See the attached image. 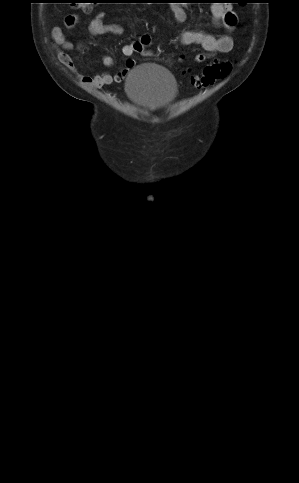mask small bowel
I'll return each instance as SVG.
<instances>
[{
	"label": "small bowel",
	"instance_id": "c3829d8e",
	"mask_svg": "<svg viewBox=\"0 0 299 483\" xmlns=\"http://www.w3.org/2000/svg\"><path fill=\"white\" fill-rule=\"evenodd\" d=\"M222 2H216L211 7V13L214 21L217 24L223 26V28L231 32L235 29L237 24V16L234 12L229 11ZM171 11L174 19L178 23H183L186 20V14L183 8L179 5H172ZM105 13H98L89 22V31L93 36H101L105 34L122 35L124 28L120 24L104 22ZM79 18L75 14H69L65 17V25L67 28H73L77 24ZM54 47L57 51L59 60L69 69H74V62L67 51L73 49V44L66 38L63 30L55 26L51 31ZM152 38L150 35H143L137 41L125 44L122 47V53L127 57L125 66L120 69L115 75L109 72H99L94 75H80L79 80L82 84L90 88H101L112 82H122L128 71L135 65L136 61L133 56L136 53H144L148 46H150ZM181 42L186 45L198 44L209 54L229 53L233 49V38L229 34H223L220 36H214L208 33L186 30L181 34ZM208 56L203 53H199L195 56V60L198 63H203L207 60ZM102 64L105 66H113L115 64L114 58L111 56L102 57Z\"/></svg>",
	"mask_w": 299,
	"mask_h": 483
}]
</instances>
